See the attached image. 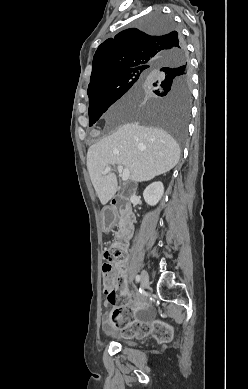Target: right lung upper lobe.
<instances>
[{
	"label": "right lung upper lobe",
	"instance_id": "1",
	"mask_svg": "<svg viewBox=\"0 0 248 389\" xmlns=\"http://www.w3.org/2000/svg\"><path fill=\"white\" fill-rule=\"evenodd\" d=\"M181 35L177 31L151 34L130 28L104 41L93 57V67L88 94L109 84L116 75L130 71H150L168 58L185 51L179 46ZM183 42V41H182ZM180 57H186L185 54Z\"/></svg>",
	"mask_w": 248,
	"mask_h": 389
}]
</instances>
